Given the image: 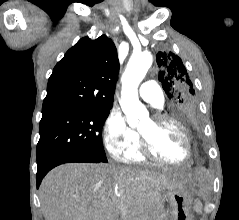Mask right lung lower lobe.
<instances>
[{"instance_id":"right-lung-lower-lobe-1","label":"right lung lower lobe","mask_w":239,"mask_h":220,"mask_svg":"<svg viewBox=\"0 0 239 220\" xmlns=\"http://www.w3.org/2000/svg\"><path fill=\"white\" fill-rule=\"evenodd\" d=\"M69 162H84V163H99L98 159L84 157V156H71V155H61L49 158L38 164L37 169V188L39 187L43 177L54 167Z\"/></svg>"}]
</instances>
